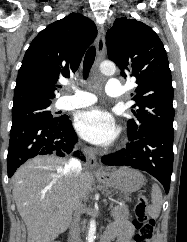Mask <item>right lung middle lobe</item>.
Returning a JSON list of instances; mask_svg holds the SVG:
<instances>
[{"label":"right lung middle lobe","instance_id":"dd1d6c3e","mask_svg":"<svg viewBox=\"0 0 187 242\" xmlns=\"http://www.w3.org/2000/svg\"><path fill=\"white\" fill-rule=\"evenodd\" d=\"M51 102H32L13 106L12 126L26 122H61L65 118H54L49 111Z\"/></svg>","mask_w":187,"mask_h":242}]
</instances>
